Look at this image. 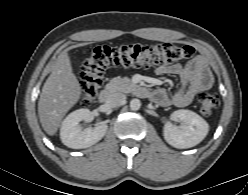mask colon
I'll list each match as a JSON object with an SVG mask.
<instances>
[{"instance_id": "5ec220e1", "label": "colon", "mask_w": 248, "mask_h": 195, "mask_svg": "<svg viewBox=\"0 0 248 195\" xmlns=\"http://www.w3.org/2000/svg\"><path fill=\"white\" fill-rule=\"evenodd\" d=\"M194 52V48L190 45H178L170 42L118 47L97 46L83 63L80 103L82 106L92 104L104 83V72L107 69L169 65L191 58ZM198 101L200 112L204 117H210L219 105V97L212 93H201Z\"/></svg>"}]
</instances>
